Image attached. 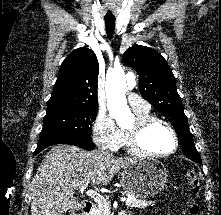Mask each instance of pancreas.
I'll list each match as a JSON object with an SVG mask.
<instances>
[{
  "mask_svg": "<svg viewBox=\"0 0 221 215\" xmlns=\"http://www.w3.org/2000/svg\"><path fill=\"white\" fill-rule=\"evenodd\" d=\"M154 203V201H147L130 195V200L126 202V205L131 208H145L153 206ZM94 215H110L109 202L101 200L97 205Z\"/></svg>",
  "mask_w": 221,
  "mask_h": 215,
  "instance_id": "1",
  "label": "pancreas"
}]
</instances>
